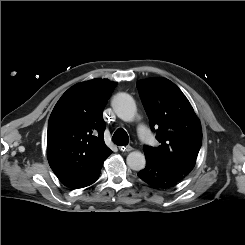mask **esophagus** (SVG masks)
I'll return each mask as SVG.
<instances>
[{
    "label": "esophagus",
    "instance_id": "esophagus-1",
    "mask_svg": "<svg viewBox=\"0 0 245 245\" xmlns=\"http://www.w3.org/2000/svg\"><path fill=\"white\" fill-rule=\"evenodd\" d=\"M119 149L122 152H130L133 148L129 145H126V146H119Z\"/></svg>",
    "mask_w": 245,
    "mask_h": 245
}]
</instances>
